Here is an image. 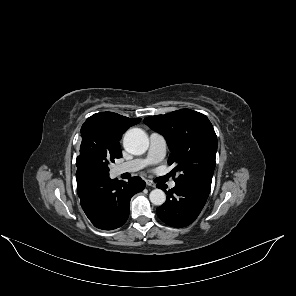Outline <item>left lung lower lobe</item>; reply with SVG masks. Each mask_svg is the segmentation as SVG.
I'll list each match as a JSON object with an SVG mask.
<instances>
[{
  "label": "left lung lower lobe",
  "mask_w": 296,
  "mask_h": 296,
  "mask_svg": "<svg viewBox=\"0 0 296 296\" xmlns=\"http://www.w3.org/2000/svg\"><path fill=\"white\" fill-rule=\"evenodd\" d=\"M167 195L166 202L156 209L158 217L172 227L191 224L200 214L208 198L211 184L183 183L166 191L167 185L157 184Z\"/></svg>",
  "instance_id": "obj_1"
}]
</instances>
